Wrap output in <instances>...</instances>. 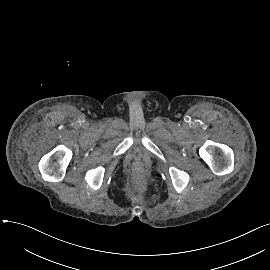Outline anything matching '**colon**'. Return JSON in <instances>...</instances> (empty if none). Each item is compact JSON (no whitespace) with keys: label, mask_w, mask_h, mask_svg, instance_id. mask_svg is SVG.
<instances>
[{"label":"colon","mask_w":270,"mask_h":270,"mask_svg":"<svg viewBox=\"0 0 270 270\" xmlns=\"http://www.w3.org/2000/svg\"><path fill=\"white\" fill-rule=\"evenodd\" d=\"M134 180H135V184L138 187H144L146 182H145V175L143 172L141 171H137L134 173Z\"/></svg>","instance_id":"colon-1"}]
</instances>
